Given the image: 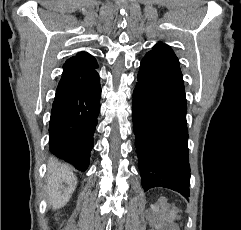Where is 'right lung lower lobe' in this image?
<instances>
[{
	"instance_id": "98d812e1",
	"label": "right lung lower lobe",
	"mask_w": 241,
	"mask_h": 230,
	"mask_svg": "<svg viewBox=\"0 0 241 230\" xmlns=\"http://www.w3.org/2000/svg\"><path fill=\"white\" fill-rule=\"evenodd\" d=\"M96 67L84 66L73 58L65 62L49 124L51 153L83 172L89 165L100 112L101 86Z\"/></svg>"
}]
</instances>
